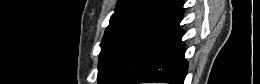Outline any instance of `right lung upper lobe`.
I'll return each mask as SVG.
<instances>
[{
    "instance_id": "obj_1",
    "label": "right lung upper lobe",
    "mask_w": 260,
    "mask_h": 84,
    "mask_svg": "<svg viewBox=\"0 0 260 84\" xmlns=\"http://www.w3.org/2000/svg\"><path fill=\"white\" fill-rule=\"evenodd\" d=\"M183 0H119L105 37L132 26L179 28Z\"/></svg>"
}]
</instances>
